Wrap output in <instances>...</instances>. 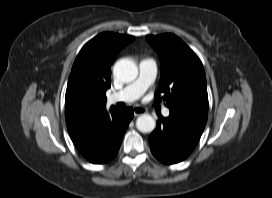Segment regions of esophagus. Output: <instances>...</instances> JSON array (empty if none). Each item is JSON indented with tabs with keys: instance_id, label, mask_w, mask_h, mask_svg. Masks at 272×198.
<instances>
[{
	"instance_id": "obj_1",
	"label": "esophagus",
	"mask_w": 272,
	"mask_h": 198,
	"mask_svg": "<svg viewBox=\"0 0 272 198\" xmlns=\"http://www.w3.org/2000/svg\"><path fill=\"white\" fill-rule=\"evenodd\" d=\"M133 111L135 116H139L146 113V110L140 106L133 107Z\"/></svg>"
}]
</instances>
